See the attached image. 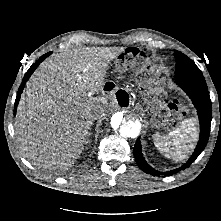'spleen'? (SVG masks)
<instances>
[{"mask_svg": "<svg viewBox=\"0 0 221 221\" xmlns=\"http://www.w3.org/2000/svg\"><path fill=\"white\" fill-rule=\"evenodd\" d=\"M198 138L196 119H185L167 135L156 136L155 146L168 158L176 161L186 158Z\"/></svg>", "mask_w": 221, "mask_h": 221, "instance_id": "obj_1", "label": "spleen"}]
</instances>
